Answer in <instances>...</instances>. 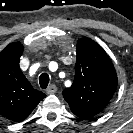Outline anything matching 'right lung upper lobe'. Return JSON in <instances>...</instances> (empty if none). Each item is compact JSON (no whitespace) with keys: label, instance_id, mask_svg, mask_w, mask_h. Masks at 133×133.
Here are the masks:
<instances>
[{"label":"right lung upper lobe","instance_id":"right-lung-upper-lobe-1","mask_svg":"<svg viewBox=\"0 0 133 133\" xmlns=\"http://www.w3.org/2000/svg\"><path fill=\"white\" fill-rule=\"evenodd\" d=\"M23 48L13 42L0 53V114L15 122L26 119L46 96L31 86L19 67Z\"/></svg>","mask_w":133,"mask_h":133}]
</instances>
